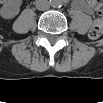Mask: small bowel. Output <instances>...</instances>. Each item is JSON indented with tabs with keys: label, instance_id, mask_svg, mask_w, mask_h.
I'll return each instance as SVG.
<instances>
[{
	"label": "small bowel",
	"instance_id": "obj_1",
	"mask_svg": "<svg viewBox=\"0 0 103 103\" xmlns=\"http://www.w3.org/2000/svg\"><path fill=\"white\" fill-rule=\"evenodd\" d=\"M77 7L86 12L87 14H93L94 12L92 2H81L77 5Z\"/></svg>",
	"mask_w": 103,
	"mask_h": 103
}]
</instances>
